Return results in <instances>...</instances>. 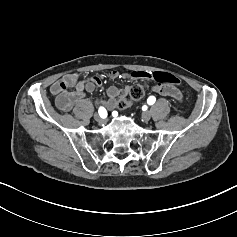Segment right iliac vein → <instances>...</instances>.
Returning a JSON list of instances; mask_svg holds the SVG:
<instances>
[{
  "instance_id": "right-iliac-vein-1",
  "label": "right iliac vein",
  "mask_w": 237,
  "mask_h": 237,
  "mask_svg": "<svg viewBox=\"0 0 237 237\" xmlns=\"http://www.w3.org/2000/svg\"><path fill=\"white\" fill-rule=\"evenodd\" d=\"M94 119L99 123V124H104L106 122L105 118L100 117V115L95 114Z\"/></svg>"
}]
</instances>
